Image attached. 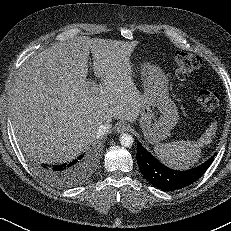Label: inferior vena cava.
<instances>
[{"label":"inferior vena cava","mask_w":231,"mask_h":231,"mask_svg":"<svg viewBox=\"0 0 231 231\" xmlns=\"http://www.w3.org/2000/svg\"><path fill=\"white\" fill-rule=\"evenodd\" d=\"M111 124L110 123H105L100 125L98 131H97V137L100 138L102 136H104L111 128Z\"/></svg>","instance_id":"inferior-vena-cava-1"}]
</instances>
